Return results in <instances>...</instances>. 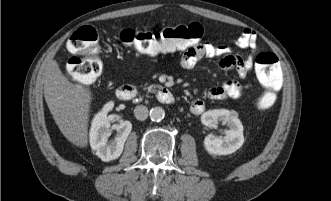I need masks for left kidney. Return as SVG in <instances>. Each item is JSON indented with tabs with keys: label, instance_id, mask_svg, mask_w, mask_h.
<instances>
[{
	"label": "left kidney",
	"instance_id": "left-kidney-1",
	"mask_svg": "<svg viewBox=\"0 0 331 201\" xmlns=\"http://www.w3.org/2000/svg\"><path fill=\"white\" fill-rule=\"evenodd\" d=\"M201 122L216 128L219 123L228 126L225 137L209 134L204 139L206 151L213 155H229L237 151L244 143L243 125L237 115L227 109L209 110L202 114Z\"/></svg>",
	"mask_w": 331,
	"mask_h": 201
}]
</instances>
